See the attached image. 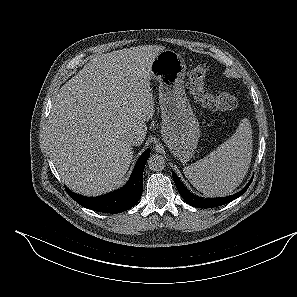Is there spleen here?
Segmentation results:
<instances>
[{"label":"spleen","mask_w":297,"mask_h":297,"mask_svg":"<svg viewBox=\"0 0 297 297\" xmlns=\"http://www.w3.org/2000/svg\"><path fill=\"white\" fill-rule=\"evenodd\" d=\"M250 121H240L236 132L203 159L184 167L191 184L208 196L231 194L243 181L252 156Z\"/></svg>","instance_id":"spleen-1"}]
</instances>
